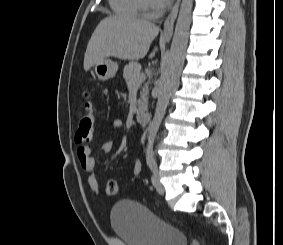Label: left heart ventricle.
Listing matches in <instances>:
<instances>
[{"mask_svg": "<svg viewBox=\"0 0 283 245\" xmlns=\"http://www.w3.org/2000/svg\"><path fill=\"white\" fill-rule=\"evenodd\" d=\"M148 3H149L151 6L156 7V6L154 5V3H153L152 0H148Z\"/></svg>", "mask_w": 283, "mask_h": 245, "instance_id": "obj_1", "label": "left heart ventricle"}]
</instances>
